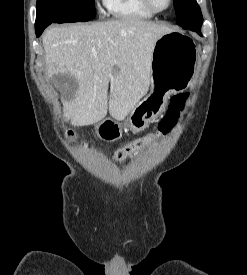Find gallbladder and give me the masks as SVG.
<instances>
[{"label":"gallbladder","mask_w":247,"mask_h":275,"mask_svg":"<svg viewBox=\"0 0 247 275\" xmlns=\"http://www.w3.org/2000/svg\"><path fill=\"white\" fill-rule=\"evenodd\" d=\"M51 83L62 93L75 92L78 88L76 80L69 74H57L51 78Z\"/></svg>","instance_id":"bac80fb5"}]
</instances>
